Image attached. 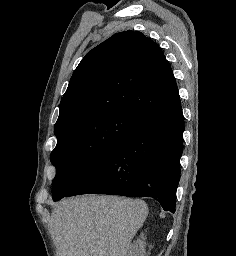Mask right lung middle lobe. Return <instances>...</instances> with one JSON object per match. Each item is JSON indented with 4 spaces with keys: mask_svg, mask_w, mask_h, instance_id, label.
I'll list each match as a JSON object with an SVG mask.
<instances>
[{
    "mask_svg": "<svg viewBox=\"0 0 236 256\" xmlns=\"http://www.w3.org/2000/svg\"><path fill=\"white\" fill-rule=\"evenodd\" d=\"M141 120L126 111H117L72 124L59 132L50 155L56 167L52 198L66 196L104 159Z\"/></svg>",
    "mask_w": 236,
    "mask_h": 256,
    "instance_id": "right-lung-middle-lobe-1",
    "label": "right lung middle lobe"
}]
</instances>
